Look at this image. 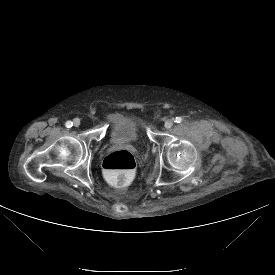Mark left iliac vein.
I'll return each mask as SVG.
<instances>
[{
	"label": "left iliac vein",
	"mask_w": 275,
	"mask_h": 275,
	"mask_svg": "<svg viewBox=\"0 0 275 275\" xmlns=\"http://www.w3.org/2000/svg\"><path fill=\"white\" fill-rule=\"evenodd\" d=\"M173 124H174V121L172 119H168V120H166L164 125H165L166 129H169L173 126Z\"/></svg>",
	"instance_id": "obj_1"
}]
</instances>
